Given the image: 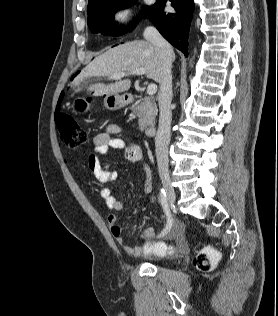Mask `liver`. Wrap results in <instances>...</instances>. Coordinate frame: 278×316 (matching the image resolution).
<instances>
[{"label": "liver", "mask_w": 278, "mask_h": 316, "mask_svg": "<svg viewBox=\"0 0 278 316\" xmlns=\"http://www.w3.org/2000/svg\"><path fill=\"white\" fill-rule=\"evenodd\" d=\"M175 56L173 53V60ZM144 68L147 78L160 83L163 77V64L155 46L149 41L127 42L112 49L91 61L81 73L72 81L71 87L80 90L81 83L92 77H108L114 74H132V71ZM115 83H95L87 87L94 96L118 94L128 91L131 87L130 79H114Z\"/></svg>", "instance_id": "1"}]
</instances>
